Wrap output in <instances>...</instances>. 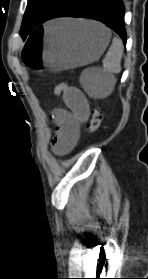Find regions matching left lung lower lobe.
I'll use <instances>...</instances> for the list:
<instances>
[{"mask_svg":"<svg viewBox=\"0 0 148 279\" xmlns=\"http://www.w3.org/2000/svg\"><path fill=\"white\" fill-rule=\"evenodd\" d=\"M57 17H83L101 21L126 43L122 0H66L47 20Z\"/></svg>","mask_w":148,"mask_h":279,"instance_id":"left-lung-lower-lobe-1","label":"left lung lower lobe"}]
</instances>
